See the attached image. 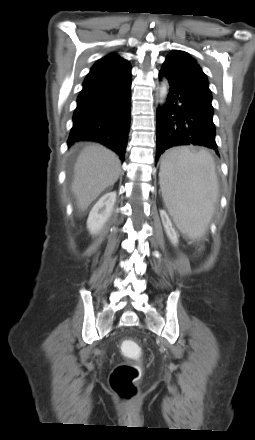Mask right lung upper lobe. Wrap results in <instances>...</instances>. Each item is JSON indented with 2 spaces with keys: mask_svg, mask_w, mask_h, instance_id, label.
<instances>
[{
  "mask_svg": "<svg viewBox=\"0 0 255 440\" xmlns=\"http://www.w3.org/2000/svg\"><path fill=\"white\" fill-rule=\"evenodd\" d=\"M128 65H130L129 62L121 58L119 55L115 53L108 54L107 56L99 59L93 65L83 83H88L103 78L123 69Z\"/></svg>",
  "mask_w": 255,
  "mask_h": 440,
  "instance_id": "cb5924a9",
  "label": "right lung upper lobe"
}]
</instances>
